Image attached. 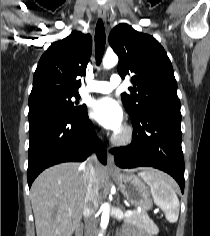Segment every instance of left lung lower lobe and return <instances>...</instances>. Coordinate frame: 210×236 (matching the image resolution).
Returning <instances> with one entry per match:
<instances>
[{
    "mask_svg": "<svg viewBox=\"0 0 210 236\" xmlns=\"http://www.w3.org/2000/svg\"><path fill=\"white\" fill-rule=\"evenodd\" d=\"M131 120L132 143L111 150L116 165L121 168L148 166L165 171L178 182L183 193L184 158L180 110L153 108Z\"/></svg>",
    "mask_w": 210,
    "mask_h": 236,
    "instance_id": "1",
    "label": "left lung lower lobe"
}]
</instances>
